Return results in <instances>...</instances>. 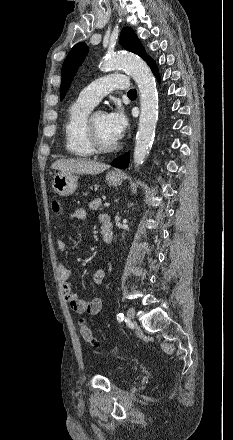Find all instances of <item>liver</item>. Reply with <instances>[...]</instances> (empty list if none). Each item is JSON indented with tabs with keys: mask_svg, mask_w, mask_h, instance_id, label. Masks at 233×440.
<instances>
[{
	"mask_svg": "<svg viewBox=\"0 0 233 440\" xmlns=\"http://www.w3.org/2000/svg\"><path fill=\"white\" fill-rule=\"evenodd\" d=\"M52 169L59 170L64 173H77V174H98L109 168L104 163L90 161L87 159H59L56 160L52 166Z\"/></svg>",
	"mask_w": 233,
	"mask_h": 440,
	"instance_id": "obj_1",
	"label": "liver"
}]
</instances>
